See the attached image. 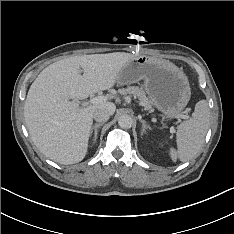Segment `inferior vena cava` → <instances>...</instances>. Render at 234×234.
I'll return each instance as SVG.
<instances>
[{
    "instance_id": "obj_1",
    "label": "inferior vena cava",
    "mask_w": 234,
    "mask_h": 234,
    "mask_svg": "<svg viewBox=\"0 0 234 234\" xmlns=\"http://www.w3.org/2000/svg\"><path fill=\"white\" fill-rule=\"evenodd\" d=\"M111 113L104 108H99L97 110L94 111L93 113V118L97 121V122H106L108 121V119L110 118Z\"/></svg>"
}]
</instances>
